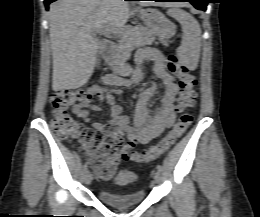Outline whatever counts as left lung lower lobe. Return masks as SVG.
<instances>
[{
    "label": "left lung lower lobe",
    "mask_w": 260,
    "mask_h": 217,
    "mask_svg": "<svg viewBox=\"0 0 260 217\" xmlns=\"http://www.w3.org/2000/svg\"><path fill=\"white\" fill-rule=\"evenodd\" d=\"M156 2H190L194 5L198 10H206L208 0H152Z\"/></svg>",
    "instance_id": "left-lung-lower-lobe-1"
}]
</instances>
